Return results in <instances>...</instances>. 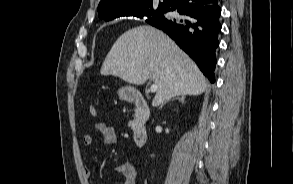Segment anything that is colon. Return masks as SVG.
I'll return each mask as SVG.
<instances>
[{"label":"colon","mask_w":293,"mask_h":184,"mask_svg":"<svg viewBox=\"0 0 293 184\" xmlns=\"http://www.w3.org/2000/svg\"><path fill=\"white\" fill-rule=\"evenodd\" d=\"M89 112H90V114L92 115V116H95L96 115V108L93 106V105H91L90 107H89Z\"/></svg>","instance_id":"colon-1"}]
</instances>
